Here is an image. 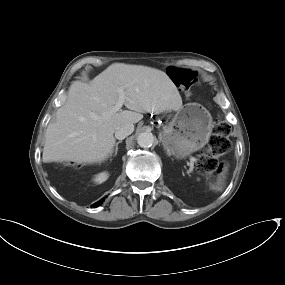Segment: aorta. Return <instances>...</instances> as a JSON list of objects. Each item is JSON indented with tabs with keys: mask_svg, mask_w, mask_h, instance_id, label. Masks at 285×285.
I'll return each mask as SVG.
<instances>
[{
	"mask_svg": "<svg viewBox=\"0 0 285 285\" xmlns=\"http://www.w3.org/2000/svg\"><path fill=\"white\" fill-rule=\"evenodd\" d=\"M155 142V137L150 132L140 133L137 137V143L142 148H150Z\"/></svg>",
	"mask_w": 285,
	"mask_h": 285,
	"instance_id": "obj_1",
	"label": "aorta"
}]
</instances>
